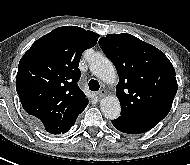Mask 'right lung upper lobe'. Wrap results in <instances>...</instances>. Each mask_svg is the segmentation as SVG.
<instances>
[{"mask_svg": "<svg viewBox=\"0 0 190 165\" xmlns=\"http://www.w3.org/2000/svg\"><path fill=\"white\" fill-rule=\"evenodd\" d=\"M99 35L76 26H63L33 43L19 62L16 90L24 110L48 133L69 131L88 105L78 87L81 54Z\"/></svg>", "mask_w": 190, "mask_h": 165, "instance_id": "obj_1", "label": "right lung upper lobe"}]
</instances>
